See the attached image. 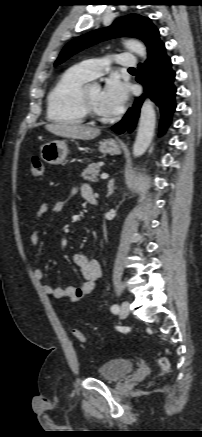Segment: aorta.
Listing matches in <instances>:
<instances>
[{
  "label": "aorta",
  "instance_id": "762f6f07",
  "mask_svg": "<svg viewBox=\"0 0 202 437\" xmlns=\"http://www.w3.org/2000/svg\"><path fill=\"white\" fill-rule=\"evenodd\" d=\"M125 46L139 55L144 60L147 57L146 47L139 41L129 39L125 42ZM94 88L100 89L98 84H94ZM156 123V115L153 103L147 98L142 107L140 113L139 127L137 137L133 145V156H142L151 144Z\"/></svg>",
  "mask_w": 202,
  "mask_h": 437
}]
</instances>
